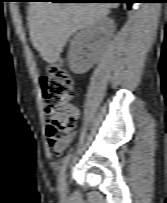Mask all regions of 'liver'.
<instances>
[{
  "label": "liver",
  "mask_w": 167,
  "mask_h": 203,
  "mask_svg": "<svg viewBox=\"0 0 167 203\" xmlns=\"http://www.w3.org/2000/svg\"><path fill=\"white\" fill-rule=\"evenodd\" d=\"M117 3H30V39L43 60L58 61L69 37L104 18Z\"/></svg>",
  "instance_id": "1"
}]
</instances>
